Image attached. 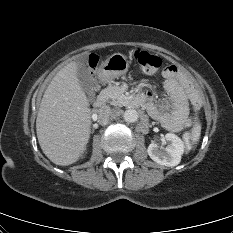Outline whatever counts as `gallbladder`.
Segmentation results:
<instances>
[{"label": "gallbladder", "instance_id": "gallbladder-1", "mask_svg": "<svg viewBox=\"0 0 233 233\" xmlns=\"http://www.w3.org/2000/svg\"><path fill=\"white\" fill-rule=\"evenodd\" d=\"M79 63L77 69V78L82 90L87 94L91 101L95 100V79L87 67V55H81L76 60Z\"/></svg>", "mask_w": 233, "mask_h": 233}]
</instances>
